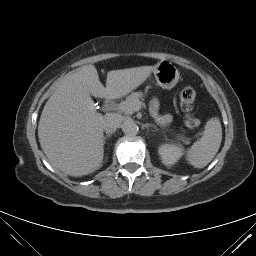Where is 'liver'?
<instances>
[{
	"instance_id": "liver-1",
	"label": "liver",
	"mask_w": 256,
	"mask_h": 256,
	"mask_svg": "<svg viewBox=\"0 0 256 256\" xmlns=\"http://www.w3.org/2000/svg\"><path fill=\"white\" fill-rule=\"evenodd\" d=\"M151 70L141 66L109 71L106 88L94 65L67 74L46 102L38 125L39 142L50 164L70 176L96 170L104 156V116L91 95L121 98L140 86Z\"/></svg>"
}]
</instances>
